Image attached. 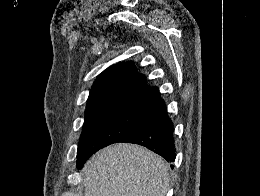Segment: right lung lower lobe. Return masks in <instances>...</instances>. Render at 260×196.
I'll return each mask as SVG.
<instances>
[{"label": "right lung lower lobe", "mask_w": 260, "mask_h": 196, "mask_svg": "<svg viewBox=\"0 0 260 196\" xmlns=\"http://www.w3.org/2000/svg\"><path fill=\"white\" fill-rule=\"evenodd\" d=\"M144 108L150 114H154L156 118L125 136L119 142L134 143L145 146L165 158L168 162H174L176 154L173 138V123L167 115L164 101L162 98H159ZM96 151L97 150L95 149H78V166H81L85 160ZM171 168H173L172 165Z\"/></svg>", "instance_id": "98d812e1"}]
</instances>
